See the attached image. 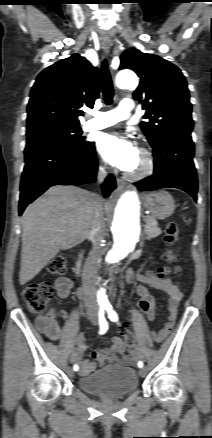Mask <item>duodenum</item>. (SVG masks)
<instances>
[{
  "label": "duodenum",
  "mask_w": 212,
  "mask_h": 438,
  "mask_svg": "<svg viewBox=\"0 0 212 438\" xmlns=\"http://www.w3.org/2000/svg\"><path fill=\"white\" fill-rule=\"evenodd\" d=\"M82 257H83L82 254H80V255H79V259H78V261H77L76 270H77L78 273H79L80 270H81Z\"/></svg>",
  "instance_id": "1"
}]
</instances>
